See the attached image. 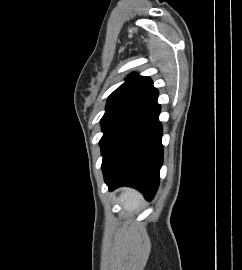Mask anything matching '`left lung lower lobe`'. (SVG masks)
I'll list each match as a JSON object with an SVG mask.
<instances>
[{"label":"left lung lower lobe","mask_w":242,"mask_h":270,"mask_svg":"<svg viewBox=\"0 0 242 270\" xmlns=\"http://www.w3.org/2000/svg\"><path fill=\"white\" fill-rule=\"evenodd\" d=\"M158 91L121 118L101 142L102 171L109 190L131 186L151 200L163 162Z\"/></svg>","instance_id":"1"}]
</instances>
